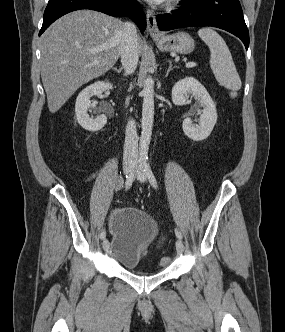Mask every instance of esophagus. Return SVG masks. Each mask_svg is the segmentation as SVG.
<instances>
[{
	"mask_svg": "<svg viewBox=\"0 0 285 332\" xmlns=\"http://www.w3.org/2000/svg\"><path fill=\"white\" fill-rule=\"evenodd\" d=\"M146 17H147V31H148V34L152 38L160 37L161 33L159 31L157 21H156V16L153 13V11L148 9L146 11Z\"/></svg>",
	"mask_w": 285,
	"mask_h": 332,
	"instance_id": "34e87169",
	"label": "esophagus"
}]
</instances>
